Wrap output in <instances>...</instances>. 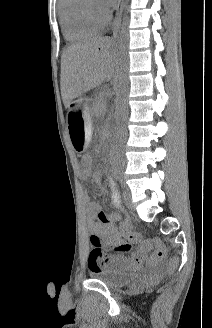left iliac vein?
Returning <instances> with one entry per match:
<instances>
[{"label": "left iliac vein", "instance_id": "left-iliac-vein-1", "mask_svg": "<svg viewBox=\"0 0 212 328\" xmlns=\"http://www.w3.org/2000/svg\"><path fill=\"white\" fill-rule=\"evenodd\" d=\"M123 199H124V203H125L126 207L129 210L133 211L134 207H133V203H132L131 193L128 188H126L123 191Z\"/></svg>", "mask_w": 212, "mask_h": 328}]
</instances>
